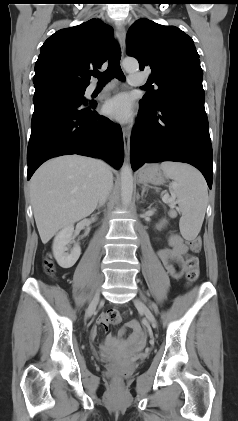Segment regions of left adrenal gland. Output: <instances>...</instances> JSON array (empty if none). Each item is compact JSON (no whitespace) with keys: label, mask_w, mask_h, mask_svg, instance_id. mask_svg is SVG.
<instances>
[{"label":"left adrenal gland","mask_w":238,"mask_h":421,"mask_svg":"<svg viewBox=\"0 0 238 421\" xmlns=\"http://www.w3.org/2000/svg\"><path fill=\"white\" fill-rule=\"evenodd\" d=\"M141 188H142V191H141V198H143L144 193H145V192H147V191H148V189H147V187H146V185H145V184H143V185L141 186Z\"/></svg>","instance_id":"1"}]
</instances>
